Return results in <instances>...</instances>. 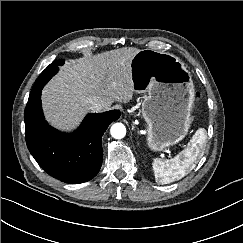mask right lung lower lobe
Returning <instances> with one entry per match:
<instances>
[{
  "label": "right lung lower lobe",
  "instance_id": "obj_1",
  "mask_svg": "<svg viewBox=\"0 0 243 243\" xmlns=\"http://www.w3.org/2000/svg\"><path fill=\"white\" fill-rule=\"evenodd\" d=\"M58 70V66H48L35 81L24 112L26 144L50 176L78 184L91 180L99 172L103 159L102 136L120 112L88 114L71 134L51 127L44 119L40 97L44 85Z\"/></svg>",
  "mask_w": 243,
  "mask_h": 243
}]
</instances>
